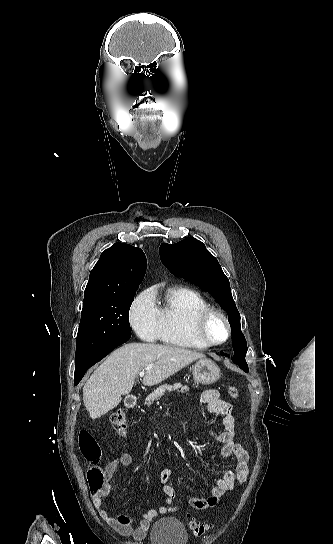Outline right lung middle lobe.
Returning <instances> with one entry per match:
<instances>
[{"label":"right lung middle lobe","mask_w":333,"mask_h":544,"mask_svg":"<svg viewBox=\"0 0 333 544\" xmlns=\"http://www.w3.org/2000/svg\"><path fill=\"white\" fill-rule=\"evenodd\" d=\"M136 290L92 299L83 304L76 341L75 366L122 336L131 335L129 309Z\"/></svg>","instance_id":"dd1d6c3e"}]
</instances>
